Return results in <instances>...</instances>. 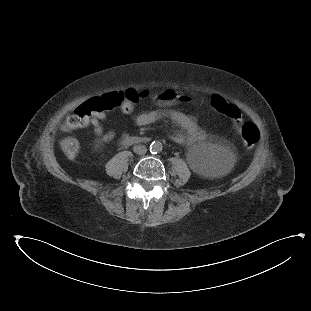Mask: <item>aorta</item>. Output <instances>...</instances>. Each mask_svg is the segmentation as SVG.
Returning a JSON list of instances; mask_svg holds the SVG:
<instances>
[{"label": "aorta", "mask_w": 311, "mask_h": 311, "mask_svg": "<svg viewBox=\"0 0 311 311\" xmlns=\"http://www.w3.org/2000/svg\"><path fill=\"white\" fill-rule=\"evenodd\" d=\"M162 148H163V145L161 142L159 141H156V142H153L151 143L150 145V152L155 154V153H159L162 151Z\"/></svg>", "instance_id": "aorta-1"}]
</instances>
